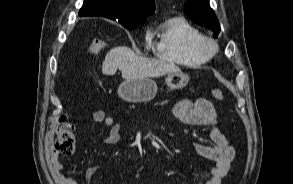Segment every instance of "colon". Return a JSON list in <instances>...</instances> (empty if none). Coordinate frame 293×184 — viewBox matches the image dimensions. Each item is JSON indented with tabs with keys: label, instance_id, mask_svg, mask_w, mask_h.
I'll list each match as a JSON object with an SVG mask.
<instances>
[{
	"label": "colon",
	"instance_id": "obj_1",
	"mask_svg": "<svg viewBox=\"0 0 293 184\" xmlns=\"http://www.w3.org/2000/svg\"><path fill=\"white\" fill-rule=\"evenodd\" d=\"M106 47V41L103 39L93 40L87 48V53L90 55L98 54ZM210 93L213 98L218 101H223L224 94L219 88H212ZM75 148V140L73 136V127L66 120L61 117L56 128V139L53 145V153L56 156H69L73 153Z\"/></svg>",
	"mask_w": 293,
	"mask_h": 184
}]
</instances>
